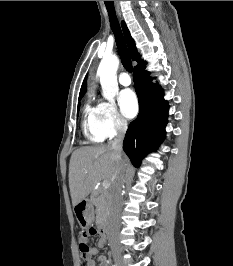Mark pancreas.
Listing matches in <instances>:
<instances>
[{
    "instance_id": "pancreas-1",
    "label": "pancreas",
    "mask_w": 233,
    "mask_h": 266,
    "mask_svg": "<svg viewBox=\"0 0 233 266\" xmlns=\"http://www.w3.org/2000/svg\"><path fill=\"white\" fill-rule=\"evenodd\" d=\"M91 201L97 209V220L101 221L107 217L110 208V194L104 188H99L92 192Z\"/></svg>"
}]
</instances>
